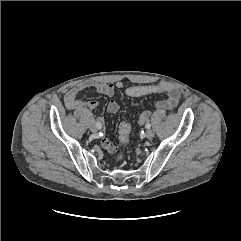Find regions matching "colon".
<instances>
[{"instance_id": "colon-1", "label": "colon", "mask_w": 241, "mask_h": 241, "mask_svg": "<svg viewBox=\"0 0 241 241\" xmlns=\"http://www.w3.org/2000/svg\"><path fill=\"white\" fill-rule=\"evenodd\" d=\"M131 131V126L127 121H122L119 125V140L124 145L127 146L129 143V135ZM117 160L123 159V154H118Z\"/></svg>"}]
</instances>
